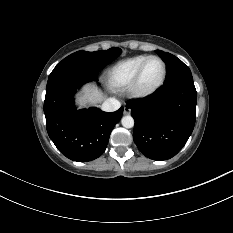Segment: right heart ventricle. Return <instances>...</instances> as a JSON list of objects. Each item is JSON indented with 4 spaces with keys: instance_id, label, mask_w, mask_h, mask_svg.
Returning <instances> with one entry per match:
<instances>
[{
    "instance_id": "obj_1",
    "label": "right heart ventricle",
    "mask_w": 233,
    "mask_h": 233,
    "mask_svg": "<svg viewBox=\"0 0 233 233\" xmlns=\"http://www.w3.org/2000/svg\"><path fill=\"white\" fill-rule=\"evenodd\" d=\"M147 57L148 55H137L115 64L108 74L111 87L118 90L129 88L138 68Z\"/></svg>"
}]
</instances>
